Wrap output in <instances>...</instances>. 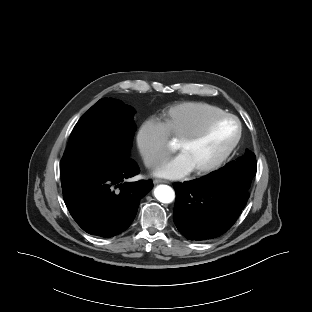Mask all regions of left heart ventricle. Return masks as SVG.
I'll use <instances>...</instances> for the list:
<instances>
[{
	"label": "left heart ventricle",
	"instance_id": "obj_1",
	"mask_svg": "<svg viewBox=\"0 0 312 312\" xmlns=\"http://www.w3.org/2000/svg\"><path fill=\"white\" fill-rule=\"evenodd\" d=\"M237 134V125L231 119L215 123L206 134L194 143L180 147L193 170L209 165L219 158L233 142Z\"/></svg>",
	"mask_w": 312,
	"mask_h": 312
}]
</instances>
